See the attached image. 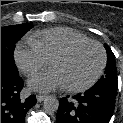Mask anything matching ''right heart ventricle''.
I'll return each instance as SVG.
<instances>
[{"instance_id":"e07e8e85","label":"right heart ventricle","mask_w":123,"mask_h":123,"mask_svg":"<svg viewBox=\"0 0 123 123\" xmlns=\"http://www.w3.org/2000/svg\"><path fill=\"white\" fill-rule=\"evenodd\" d=\"M88 39L82 32L69 27L48 28L34 33L29 37V41L33 43L48 60L70 44Z\"/></svg>"}]
</instances>
